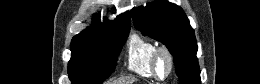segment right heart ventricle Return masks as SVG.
<instances>
[{
    "instance_id": "e07e8e85",
    "label": "right heart ventricle",
    "mask_w": 260,
    "mask_h": 84,
    "mask_svg": "<svg viewBox=\"0 0 260 84\" xmlns=\"http://www.w3.org/2000/svg\"><path fill=\"white\" fill-rule=\"evenodd\" d=\"M156 48L150 39L133 34L127 50L128 69L141 77L154 78L151 64Z\"/></svg>"
}]
</instances>
